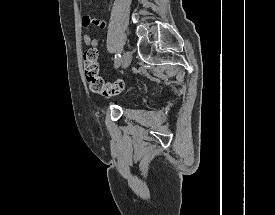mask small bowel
Returning a JSON list of instances; mask_svg holds the SVG:
<instances>
[{
	"mask_svg": "<svg viewBox=\"0 0 275 215\" xmlns=\"http://www.w3.org/2000/svg\"><path fill=\"white\" fill-rule=\"evenodd\" d=\"M82 25L84 27L97 26L101 29H104L107 26V22L105 20L96 19L92 16H86L82 19ZM83 42L86 46L96 47L100 40L92 38L89 34H85L83 36Z\"/></svg>",
	"mask_w": 275,
	"mask_h": 215,
	"instance_id": "obj_1",
	"label": "small bowel"
}]
</instances>
